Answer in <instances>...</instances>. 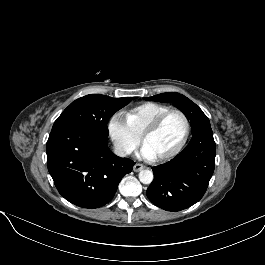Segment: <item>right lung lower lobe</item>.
<instances>
[{
    "instance_id": "right-lung-lower-lobe-1",
    "label": "right lung lower lobe",
    "mask_w": 265,
    "mask_h": 265,
    "mask_svg": "<svg viewBox=\"0 0 265 265\" xmlns=\"http://www.w3.org/2000/svg\"><path fill=\"white\" fill-rule=\"evenodd\" d=\"M107 144L108 137L82 126L51 131L47 167L62 197L83 208H98L113 198L135 162L116 156Z\"/></svg>"
}]
</instances>
